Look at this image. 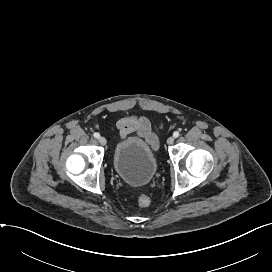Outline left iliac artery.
Returning a JSON list of instances; mask_svg holds the SVG:
<instances>
[{"label":"left iliac artery","instance_id":"1","mask_svg":"<svg viewBox=\"0 0 272 272\" xmlns=\"http://www.w3.org/2000/svg\"><path fill=\"white\" fill-rule=\"evenodd\" d=\"M173 136H174L175 138L179 137V132H178V131H175V132L173 133Z\"/></svg>","mask_w":272,"mask_h":272}]
</instances>
